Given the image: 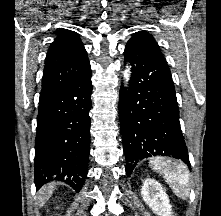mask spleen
I'll list each match as a JSON object with an SVG mask.
<instances>
[{
  "mask_svg": "<svg viewBox=\"0 0 221 216\" xmlns=\"http://www.w3.org/2000/svg\"><path fill=\"white\" fill-rule=\"evenodd\" d=\"M150 167L163 175L175 195L183 200L190 194L189 171L184 163L156 157L150 160Z\"/></svg>",
  "mask_w": 221,
  "mask_h": 216,
  "instance_id": "spleen-1",
  "label": "spleen"
}]
</instances>
